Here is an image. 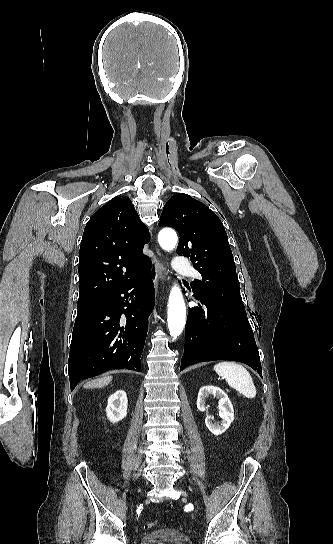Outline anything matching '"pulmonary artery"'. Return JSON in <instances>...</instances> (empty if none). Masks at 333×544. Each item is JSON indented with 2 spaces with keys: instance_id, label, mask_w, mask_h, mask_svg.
I'll use <instances>...</instances> for the list:
<instances>
[{
  "instance_id": "e3ab8cb5",
  "label": "pulmonary artery",
  "mask_w": 333,
  "mask_h": 544,
  "mask_svg": "<svg viewBox=\"0 0 333 544\" xmlns=\"http://www.w3.org/2000/svg\"><path fill=\"white\" fill-rule=\"evenodd\" d=\"M174 269L177 273L187 276L196 275V271L190 265V263L184 258L177 257L174 262Z\"/></svg>"
}]
</instances>
